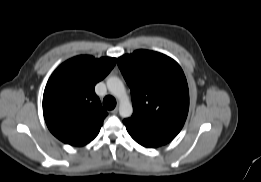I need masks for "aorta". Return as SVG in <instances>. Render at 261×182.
<instances>
[{
  "instance_id": "1",
  "label": "aorta",
  "mask_w": 261,
  "mask_h": 182,
  "mask_svg": "<svg viewBox=\"0 0 261 182\" xmlns=\"http://www.w3.org/2000/svg\"><path fill=\"white\" fill-rule=\"evenodd\" d=\"M109 92L119 100V114L123 118H128L133 113V107L127 95L125 86L120 78L116 76L107 79Z\"/></svg>"
}]
</instances>
